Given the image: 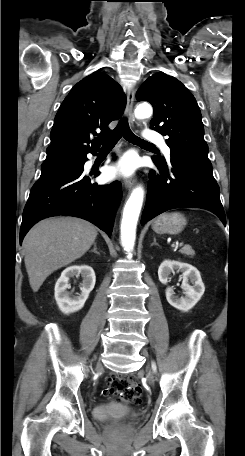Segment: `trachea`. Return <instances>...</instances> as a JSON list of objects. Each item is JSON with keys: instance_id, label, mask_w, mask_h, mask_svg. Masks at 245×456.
<instances>
[{"instance_id": "trachea-1", "label": "trachea", "mask_w": 245, "mask_h": 456, "mask_svg": "<svg viewBox=\"0 0 245 456\" xmlns=\"http://www.w3.org/2000/svg\"><path fill=\"white\" fill-rule=\"evenodd\" d=\"M123 136L128 142L136 145H152L151 143L144 141L137 137L130 129L126 119H122L117 127L107 136L97 139L98 142L103 144V147H112L116 142Z\"/></svg>"}]
</instances>
